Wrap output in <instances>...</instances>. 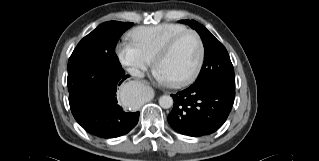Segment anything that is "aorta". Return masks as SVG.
<instances>
[{"label": "aorta", "instance_id": "obj_1", "mask_svg": "<svg viewBox=\"0 0 319 161\" xmlns=\"http://www.w3.org/2000/svg\"><path fill=\"white\" fill-rule=\"evenodd\" d=\"M159 105L164 108L168 109L173 106V99L169 95H163L159 98Z\"/></svg>", "mask_w": 319, "mask_h": 161}]
</instances>
